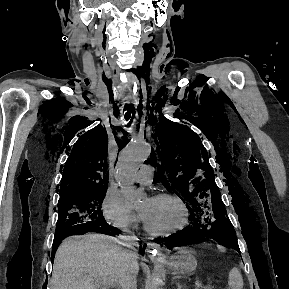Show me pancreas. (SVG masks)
<instances>
[{"label": "pancreas", "mask_w": 289, "mask_h": 289, "mask_svg": "<svg viewBox=\"0 0 289 289\" xmlns=\"http://www.w3.org/2000/svg\"><path fill=\"white\" fill-rule=\"evenodd\" d=\"M203 289H213L211 286L204 287Z\"/></svg>", "instance_id": "obj_1"}]
</instances>
